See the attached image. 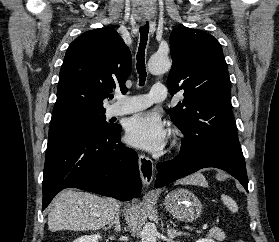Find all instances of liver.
<instances>
[{
  "instance_id": "liver-1",
  "label": "liver",
  "mask_w": 279,
  "mask_h": 242,
  "mask_svg": "<svg viewBox=\"0 0 279 242\" xmlns=\"http://www.w3.org/2000/svg\"><path fill=\"white\" fill-rule=\"evenodd\" d=\"M180 183L207 187L201 174L186 177ZM119 208L120 203L114 198L67 189L60 192L53 201L48 215V228L52 232L101 229L114 219Z\"/></svg>"
}]
</instances>
